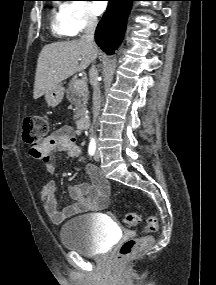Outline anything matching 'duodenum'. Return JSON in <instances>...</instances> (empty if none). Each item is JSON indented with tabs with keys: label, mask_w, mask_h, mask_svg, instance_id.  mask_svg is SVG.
Returning a JSON list of instances; mask_svg holds the SVG:
<instances>
[{
	"label": "duodenum",
	"mask_w": 216,
	"mask_h": 285,
	"mask_svg": "<svg viewBox=\"0 0 216 285\" xmlns=\"http://www.w3.org/2000/svg\"><path fill=\"white\" fill-rule=\"evenodd\" d=\"M89 126V120L86 116H81L78 120V127L81 130L86 129Z\"/></svg>",
	"instance_id": "duodenum-1"
}]
</instances>
